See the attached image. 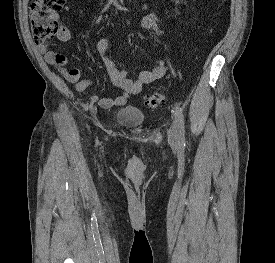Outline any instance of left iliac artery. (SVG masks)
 <instances>
[{"instance_id": "obj_1", "label": "left iliac artery", "mask_w": 275, "mask_h": 263, "mask_svg": "<svg viewBox=\"0 0 275 263\" xmlns=\"http://www.w3.org/2000/svg\"><path fill=\"white\" fill-rule=\"evenodd\" d=\"M176 121L178 124V139L179 142L185 143V126H184V115L182 108L178 105L176 106Z\"/></svg>"}]
</instances>
